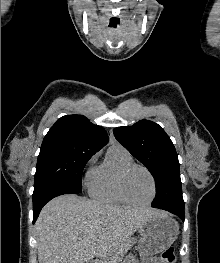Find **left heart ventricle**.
I'll return each mask as SVG.
<instances>
[{
    "mask_svg": "<svg viewBox=\"0 0 220 263\" xmlns=\"http://www.w3.org/2000/svg\"><path fill=\"white\" fill-rule=\"evenodd\" d=\"M127 191L132 200L145 202L152 195V182L147 173L141 169H135L127 179Z\"/></svg>",
    "mask_w": 220,
    "mask_h": 263,
    "instance_id": "obj_1",
    "label": "left heart ventricle"
}]
</instances>
